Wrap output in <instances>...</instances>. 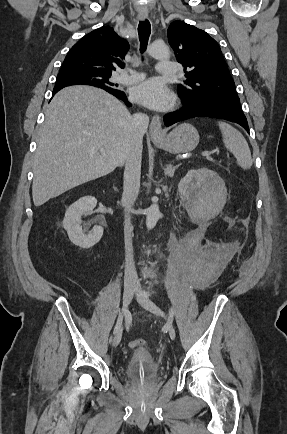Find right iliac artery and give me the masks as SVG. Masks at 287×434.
<instances>
[{"label": "right iliac artery", "instance_id": "1", "mask_svg": "<svg viewBox=\"0 0 287 434\" xmlns=\"http://www.w3.org/2000/svg\"><path fill=\"white\" fill-rule=\"evenodd\" d=\"M122 321H123V316H122V313H120L118 316L115 328H114V333H116L118 331V329L121 327Z\"/></svg>", "mask_w": 287, "mask_h": 434}]
</instances>
